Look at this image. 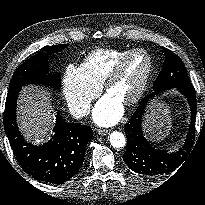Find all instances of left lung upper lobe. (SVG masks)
Segmentation results:
<instances>
[{
  "label": "left lung upper lobe",
  "instance_id": "1",
  "mask_svg": "<svg viewBox=\"0 0 205 205\" xmlns=\"http://www.w3.org/2000/svg\"><path fill=\"white\" fill-rule=\"evenodd\" d=\"M164 54V65L153 85L154 92L149 94L151 97L171 88L191 84L182 60L168 49H165Z\"/></svg>",
  "mask_w": 205,
  "mask_h": 205
}]
</instances>
